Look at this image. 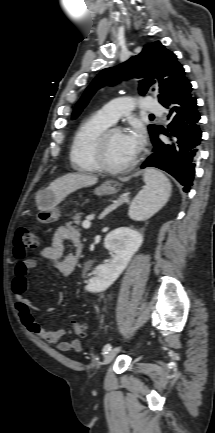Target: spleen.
I'll return each instance as SVG.
<instances>
[{
	"label": "spleen",
	"instance_id": "spleen-1",
	"mask_svg": "<svg viewBox=\"0 0 215 433\" xmlns=\"http://www.w3.org/2000/svg\"><path fill=\"white\" fill-rule=\"evenodd\" d=\"M145 187L130 205L129 216L142 221L150 218L168 201L172 186L169 179L156 169H146L143 175Z\"/></svg>",
	"mask_w": 215,
	"mask_h": 433
}]
</instances>
